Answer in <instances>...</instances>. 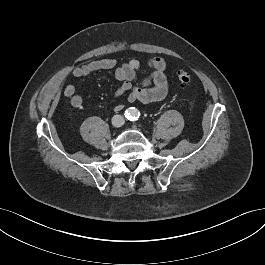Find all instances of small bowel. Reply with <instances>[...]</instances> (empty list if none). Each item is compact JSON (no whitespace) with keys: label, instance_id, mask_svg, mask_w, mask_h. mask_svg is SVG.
Returning <instances> with one entry per match:
<instances>
[{"label":"small bowel","instance_id":"1","mask_svg":"<svg viewBox=\"0 0 265 265\" xmlns=\"http://www.w3.org/2000/svg\"><path fill=\"white\" fill-rule=\"evenodd\" d=\"M145 64L152 70V73L139 86L133 84V80L141 68V63L136 59H132L118 67H116L115 60L111 58L93 60L82 65L73 66L70 74L79 78L98 71L115 69V78L121 84L115 91L114 98H120L127 94V101L130 103L135 101H141L143 103L160 102L168 92L166 62L162 58L152 57L147 59ZM63 94L70 99V103L74 108L79 109L83 106V97L76 94L73 85H65L63 87ZM123 107V104H117L115 110L120 111Z\"/></svg>","mask_w":265,"mask_h":265}]
</instances>
